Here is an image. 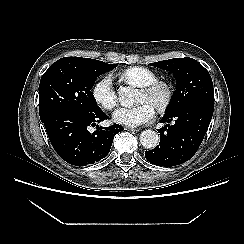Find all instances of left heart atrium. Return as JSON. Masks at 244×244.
Returning <instances> with one entry per match:
<instances>
[{"mask_svg":"<svg viewBox=\"0 0 244 244\" xmlns=\"http://www.w3.org/2000/svg\"><path fill=\"white\" fill-rule=\"evenodd\" d=\"M155 110L153 106L147 102L134 107H121L113 114L115 122L129 127H137L153 120Z\"/></svg>","mask_w":244,"mask_h":244,"instance_id":"39dd6f15","label":"left heart atrium"}]
</instances>
